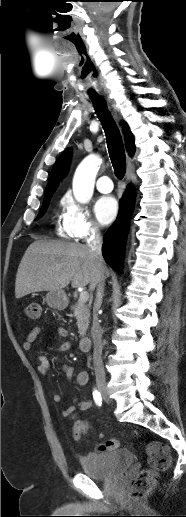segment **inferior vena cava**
<instances>
[{
    "label": "inferior vena cava",
    "mask_w": 186,
    "mask_h": 517,
    "mask_svg": "<svg viewBox=\"0 0 186 517\" xmlns=\"http://www.w3.org/2000/svg\"><path fill=\"white\" fill-rule=\"evenodd\" d=\"M87 246L96 258L97 266L103 268V257H102V237L98 226H95L91 232V236L87 239ZM106 277L100 275L96 283V299L93 307V321L91 327V336L94 343L93 351V364L95 370V376L97 380H105V370L102 361V329L99 324L98 310L102 303L103 291Z\"/></svg>",
    "instance_id": "602c4592"
}]
</instances>
